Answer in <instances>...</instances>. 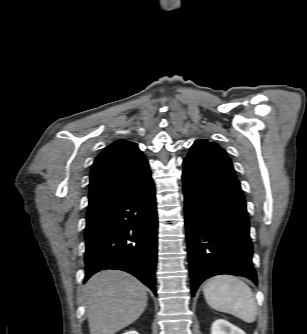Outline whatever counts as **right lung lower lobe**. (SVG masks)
<instances>
[{
    "mask_svg": "<svg viewBox=\"0 0 307 334\" xmlns=\"http://www.w3.org/2000/svg\"><path fill=\"white\" fill-rule=\"evenodd\" d=\"M157 228L151 179L86 224L84 282L102 269H117L131 273L156 294Z\"/></svg>",
    "mask_w": 307,
    "mask_h": 334,
    "instance_id": "98d812e1",
    "label": "right lung lower lobe"
}]
</instances>
